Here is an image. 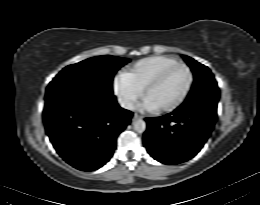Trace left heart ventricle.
<instances>
[{"instance_id":"obj_1","label":"left heart ventricle","mask_w":260,"mask_h":205,"mask_svg":"<svg viewBox=\"0 0 260 205\" xmlns=\"http://www.w3.org/2000/svg\"><path fill=\"white\" fill-rule=\"evenodd\" d=\"M187 83V70L180 66L174 67L147 93L145 99L157 108L169 105L182 94Z\"/></svg>"}]
</instances>
